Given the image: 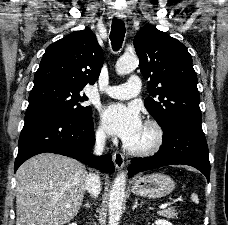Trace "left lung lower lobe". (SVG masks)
Here are the masks:
<instances>
[{"label": "left lung lower lobe", "mask_w": 228, "mask_h": 225, "mask_svg": "<svg viewBox=\"0 0 228 225\" xmlns=\"http://www.w3.org/2000/svg\"><path fill=\"white\" fill-rule=\"evenodd\" d=\"M163 130L160 150L151 157L132 159L128 176L162 166L182 164L197 168L209 182L208 146L201 123L178 120L171 122Z\"/></svg>", "instance_id": "obj_1"}]
</instances>
